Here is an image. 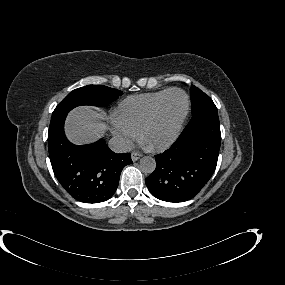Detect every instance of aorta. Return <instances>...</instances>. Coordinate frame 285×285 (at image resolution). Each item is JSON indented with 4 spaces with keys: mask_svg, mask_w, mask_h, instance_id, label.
Wrapping results in <instances>:
<instances>
[{
    "mask_svg": "<svg viewBox=\"0 0 285 285\" xmlns=\"http://www.w3.org/2000/svg\"><path fill=\"white\" fill-rule=\"evenodd\" d=\"M156 168V161L151 156H144L140 159V169L144 173H152Z\"/></svg>",
    "mask_w": 285,
    "mask_h": 285,
    "instance_id": "aorta-1",
    "label": "aorta"
}]
</instances>
